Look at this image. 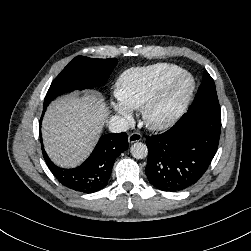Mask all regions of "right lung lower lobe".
I'll list each match as a JSON object with an SVG mask.
<instances>
[{"label": "right lung lower lobe", "instance_id": "98d812e1", "mask_svg": "<svg viewBox=\"0 0 251 251\" xmlns=\"http://www.w3.org/2000/svg\"><path fill=\"white\" fill-rule=\"evenodd\" d=\"M45 110L46 108H43V114ZM127 141L126 133L103 135L89 158L82 165L73 169H63L56 166L46 154L42 139L41 144L47 166L63 186L77 192L93 193L107 185L116 158L121 152L128 149Z\"/></svg>", "mask_w": 251, "mask_h": 251}]
</instances>
